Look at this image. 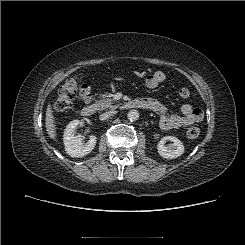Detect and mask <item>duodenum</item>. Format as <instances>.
I'll return each instance as SVG.
<instances>
[{"label": "duodenum", "mask_w": 245, "mask_h": 245, "mask_svg": "<svg viewBox=\"0 0 245 245\" xmlns=\"http://www.w3.org/2000/svg\"><path fill=\"white\" fill-rule=\"evenodd\" d=\"M138 107H143V105L141 102H139L137 100L127 101L121 105L122 110H130V109L138 108ZM96 110H97V107L95 105L87 104L82 108L81 114L84 117H91L96 113Z\"/></svg>", "instance_id": "1"}]
</instances>
